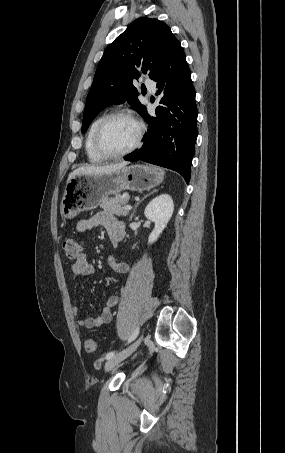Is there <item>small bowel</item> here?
Returning <instances> with one entry per match:
<instances>
[{
	"label": "small bowel",
	"mask_w": 285,
	"mask_h": 453,
	"mask_svg": "<svg viewBox=\"0 0 285 453\" xmlns=\"http://www.w3.org/2000/svg\"><path fill=\"white\" fill-rule=\"evenodd\" d=\"M97 226H102L106 230L110 241L113 244L119 243L125 234L124 223L119 221L112 214L102 211L95 215L82 219L77 222L76 230L81 233L89 232ZM108 265L118 273H127L129 271V265L124 262H117L113 257L107 258ZM72 276L75 280L89 277L95 273L94 266L88 262L85 254H81L71 267ZM118 297L110 296L103 307L101 314L97 317L90 318H77L76 324L80 328L93 329L95 327L108 324L112 320V309L117 305ZM73 315L78 316L79 309L73 307Z\"/></svg>",
	"instance_id": "obj_1"
}]
</instances>
